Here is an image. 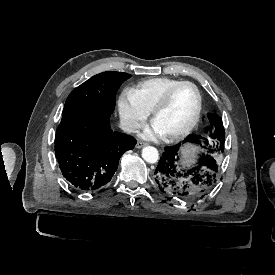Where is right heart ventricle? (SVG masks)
Here are the masks:
<instances>
[{"instance_id": "obj_1", "label": "right heart ventricle", "mask_w": 275, "mask_h": 275, "mask_svg": "<svg viewBox=\"0 0 275 275\" xmlns=\"http://www.w3.org/2000/svg\"><path fill=\"white\" fill-rule=\"evenodd\" d=\"M177 81L169 77L150 78L138 83L134 93L141 104L151 112L167 88Z\"/></svg>"}]
</instances>
